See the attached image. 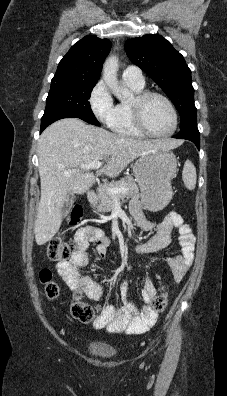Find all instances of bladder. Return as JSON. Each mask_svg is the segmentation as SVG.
<instances>
[{
    "instance_id": "bladder-1",
    "label": "bladder",
    "mask_w": 227,
    "mask_h": 396,
    "mask_svg": "<svg viewBox=\"0 0 227 396\" xmlns=\"http://www.w3.org/2000/svg\"><path fill=\"white\" fill-rule=\"evenodd\" d=\"M86 351L89 355L104 360L113 359L117 356V352L113 348L97 342L88 344L86 346Z\"/></svg>"
}]
</instances>
